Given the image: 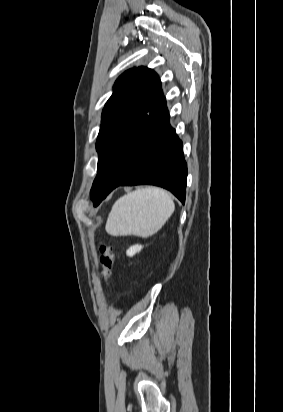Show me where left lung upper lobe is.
Instances as JSON below:
<instances>
[{
    "mask_svg": "<svg viewBox=\"0 0 283 412\" xmlns=\"http://www.w3.org/2000/svg\"><path fill=\"white\" fill-rule=\"evenodd\" d=\"M167 115L158 75L145 67L126 71L117 79L103 109L96 142L98 155L105 150L117 158L127 157L135 168L156 126ZM99 193L100 183L94 180L91 199L95 200Z\"/></svg>",
    "mask_w": 283,
    "mask_h": 412,
    "instance_id": "obj_1",
    "label": "left lung upper lobe"
}]
</instances>
